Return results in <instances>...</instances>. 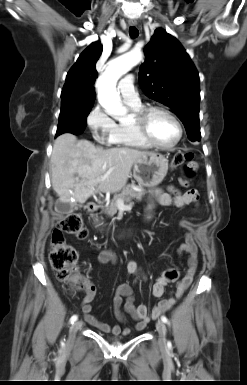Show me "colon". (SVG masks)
I'll return each mask as SVG.
<instances>
[{"instance_id": "colon-1", "label": "colon", "mask_w": 247, "mask_h": 385, "mask_svg": "<svg viewBox=\"0 0 247 385\" xmlns=\"http://www.w3.org/2000/svg\"><path fill=\"white\" fill-rule=\"evenodd\" d=\"M175 166H183L188 177L198 172V164L193 160L192 153H178L173 158ZM186 185L185 181L181 182ZM65 235H74L80 239L87 236L82 217L73 213L61 217L50 236L49 260L59 281L70 285L74 291H87L89 282L83 275L77 274L78 254L73 246L66 243Z\"/></svg>"}]
</instances>
